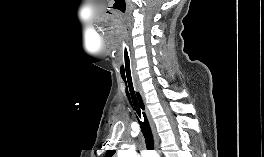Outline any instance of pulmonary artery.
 Returning <instances> with one entry per match:
<instances>
[{
	"instance_id": "1",
	"label": "pulmonary artery",
	"mask_w": 264,
	"mask_h": 157,
	"mask_svg": "<svg viewBox=\"0 0 264 157\" xmlns=\"http://www.w3.org/2000/svg\"><path fill=\"white\" fill-rule=\"evenodd\" d=\"M153 153L151 152H148V151H145L142 155V157H148V156H151ZM154 155V154H153Z\"/></svg>"
}]
</instances>
